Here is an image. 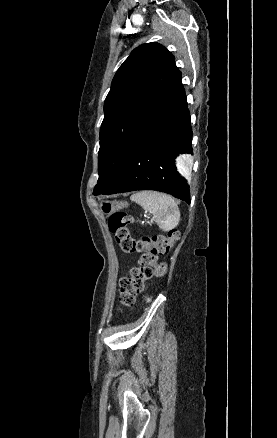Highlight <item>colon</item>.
I'll use <instances>...</instances> for the list:
<instances>
[{
	"label": "colon",
	"instance_id": "colon-1",
	"mask_svg": "<svg viewBox=\"0 0 277 438\" xmlns=\"http://www.w3.org/2000/svg\"><path fill=\"white\" fill-rule=\"evenodd\" d=\"M131 216L124 212L114 213L109 217V229L114 235L117 245L128 254L136 253L141 257V263L130 270L128 277L119 280V300L124 306H132L136 297L143 292L144 282L156 272L159 276L167 273V265L157 262L158 254L166 253L178 239V232L171 229L158 236H139L133 238L128 226L133 224ZM150 301L148 296L143 297V303Z\"/></svg>",
	"mask_w": 277,
	"mask_h": 438
}]
</instances>
